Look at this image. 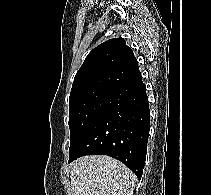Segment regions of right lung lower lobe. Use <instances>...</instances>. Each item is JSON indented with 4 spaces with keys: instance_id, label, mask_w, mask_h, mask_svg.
<instances>
[{
    "instance_id": "obj_1",
    "label": "right lung lower lobe",
    "mask_w": 211,
    "mask_h": 195,
    "mask_svg": "<svg viewBox=\"0 0 211 195\" xmlns=\"http://www.w3.org/2000/svg\"><path fill=\"white\" fill-rule=\"evenodd\" d=\"M149 119L148 97L142 79L115 89L70 152L69 162L84 155H108L123 162L140 180L146 160Z\"/></svg>"
}]
</instances>
